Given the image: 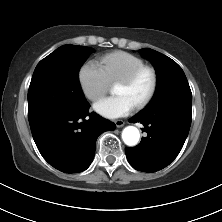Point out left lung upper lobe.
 I'll return each instance as SVG.
<instances>
[{
    "instance_id": "5c2ea615",
    "label": "left lung upper lobe",
    "mask_w": 222,
    "mask_h": 222,
    "mask_svg": "<svg viewBox=\"0 0 222 222\" xmlns=\"http://www.w3.org/2000/svg\"><path fill=\"white\" fill-rule=\"evenodd\" d=\"M142 56L149 60L157 73V88L149 105V110L167 102L192 105V93L181 67L171 58L155 50L141 49Z\"/></svg>"
}]
</instances>
